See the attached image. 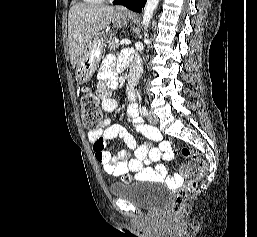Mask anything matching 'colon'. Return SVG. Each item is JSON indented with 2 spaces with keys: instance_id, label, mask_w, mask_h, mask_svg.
<instances>
[{
  "instance_id": "1",
  "label": "colon",
  "mask_w": 257,
  "mask_h": 237,
  "mask_svg": "<svg viewBox=\"0 0 257 237\" xmlns=\"http://www.w3.org/2000/svg\"><path fill=\"white\" fill-rule=\"evenodd\" d=\"M81 112L84 126L91 130H97L100 127L102 115L100 111L99 98L89 91H85L81 99ZM182 155L188 161L180 165L179 171L185 179L181 188L177 191L175 200L172 204L170 214L173 219H181L184 209L189 203L191 194L196 190L197 181L202 179L206 172V165L200 162L198 166L192 164L193 160H198L199 155L196 151L183 148ZM125 182H129L130 178L125 177Z\"/></svg>"
}]
</instances>
